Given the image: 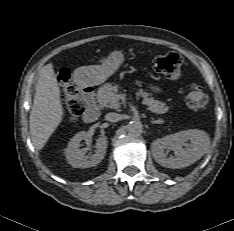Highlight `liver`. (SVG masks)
<instances>
[{
    "label": "liver",
    "mask_w": 234,
    "mask_h": 231,
    "mask_svg": "<svg viewBox=\"0 0 234 231\" xmlns=\"http://www.w3.org/2000/svg\"><path fill=\"white\" fill-rule=\"evenodd\" d=\"M64 108L61 91L51 63L42 67L35 86L30 113V133L36 150H41L61 123Z\"/></svg>",
    "instance_id": "liver-1"
}]
</instances>
